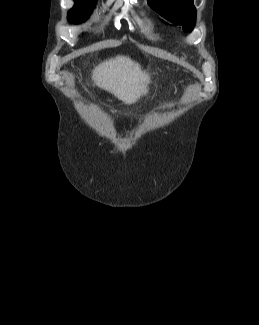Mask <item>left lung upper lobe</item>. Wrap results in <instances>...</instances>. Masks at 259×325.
<instances>
[{"label":"left lung upper lobe","instance_id":"5c2ea615","mask_svg":"<svg viewBox=\"0 0 259 325\" xmlns=\"http://www.w3.org/2000/svg\"><path fill=\"white\" fill-rule=\"evenodd\" d=\"M148 4L166 19L182 25L185 32H191L196 23L193 0H148Z\"/></svg>","mask_w":259,"mask_h":325}]
</instances>
